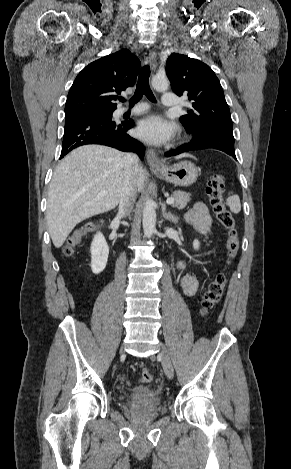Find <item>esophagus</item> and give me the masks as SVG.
I'll list each match as a JSON object with an SVG mask.
<instances>
[{
	"label": "esophagus",
	"instance_id": "esophagus-1",
	"mask_svg": "<svg viewBox=\"0 0 291 469\" xmlns=\"http://www.w3.org/2000/svg\"><path fill=\"white\" fill-rule=\"evenodd\" d=\"M146 60L150 64L151 69L155 70L157 66V59L154 51L149 52V55L146 57ZM146 160L150 168L159 169L163 167V163L161 162L158 155L153 149H148L146 151Z\"/></svg>",
	"mask_w": 291,
	"mask_h": 469
}]
</instances>
